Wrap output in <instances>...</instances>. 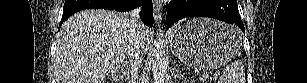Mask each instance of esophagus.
<instances>
[{
	"instance_id": "obj_1",
	"label": "esophagus",
	"mask_w": 307,
	"mask_h": 83,
	"mask_svg": "<svg viewBox=\"0 0 307 83\" xmlns=\"http://www.w3.org/2000/svg\"><path fill=\"white\" fill-rule=\"evenodd\" d=\"M162 10L161 2L158 0L153 1L154 18L157 24H160L162 21Z\"/></svg>"
}]
</instances>
